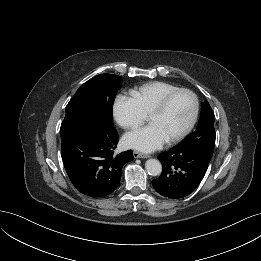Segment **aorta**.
<instances>
[{
  "mask_svg": "<svg viewBox=\"0 0 261 261\" xmlns=\"http://www.w3.org/2000/svg\"><path fill=\"white\" fill-rule=\"evenodd\" d=\"M145 169L151 176H158L162 172V165L156 159H149L145 163Z\"/></svg>",
  "mask_w": 261,
  "mask_h": 261,
  "instance_id": "1",
  "label": "aorta"
}]
</instances>
